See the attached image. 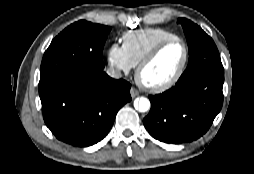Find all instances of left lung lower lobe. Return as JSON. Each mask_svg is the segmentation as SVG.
<instances>
[{"mask_svg":"<svg viewBox=\"0 0 254 174\" xmlns=\"http://www.w3.org/2000/svg\"><path fill=\"white\" fill-rule=\"evenodd\" d=\"M224 72H204L178 80L166 92L149 96L143 119L150 135L165 143L191 142L207 132L223 104Z\"/></svg>","mask_w":254,"mask_h":174,"instance_id":"0a47b994","label":"left lung lower lobe"}]
</instances>
